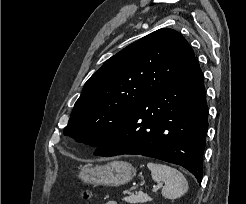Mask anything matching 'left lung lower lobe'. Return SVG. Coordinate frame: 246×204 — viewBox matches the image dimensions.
Returning <instances> with one entry per match:
<instances>
[{
  "instance_id": "0a47b994",
  "label": "left lung lower lobe",
  "mask_w": 246,
  "mask_h": 204,
  "mask_svg": "<svg viewBox=\"0 0 246 204\" xmlns=\"http://www.w3.org/2000/svg\"><path fill=\"white\" fill-rule=\"evenodd\" d=\"M203 79L194 57L121 120L94 154L153 157L186 168L201 182L208 130Z\"/></svg>"
}]
</instances>
